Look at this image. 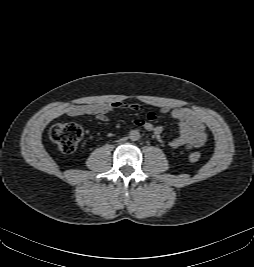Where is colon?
<instances>
[{
  "instance_id": "1",
  "label": "colon",
  "mask_w": 254,
  "mask_h": 267,
  "mask_svg": "<svg viewBox=\"0 0 254 267\" xmlns=\"http://www.w3.org/2000/svg\"><path fill=\"white\" fill-rule=\"evenodd\" d=\"M49 134L51 140L57 144L63 153L70 154L76 150L84 131L79 123L70 121L53 125ZM200 158L201 154L199 152L189 154V160L191 162H198Z\"/></svg>"
}]
</instances>
